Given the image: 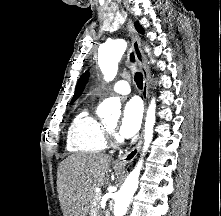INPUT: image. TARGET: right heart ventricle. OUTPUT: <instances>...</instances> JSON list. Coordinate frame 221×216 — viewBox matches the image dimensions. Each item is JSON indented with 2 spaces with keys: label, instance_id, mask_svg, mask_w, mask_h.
<instances>
[{
  "label": "right heart ventricle",
  "instance_id": "e07e8e85",
  "mask_svg": "<svg viewBox=\"0 0 221 216\" xmlns=\"http://www.w3.org/2000/svg\"><path fill=\"white\" fill-rule=\"evenodd\" d=\"M107 145L106 129L88 108L83 109L72 121L67 133V148L72 152L96 153Z\"/></svg>",
  "mask_w": 221,
  "mask_h": 216
}]
</instances>
